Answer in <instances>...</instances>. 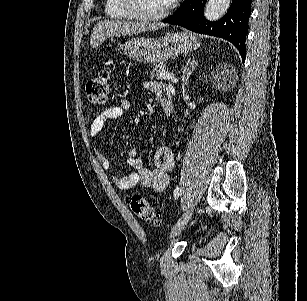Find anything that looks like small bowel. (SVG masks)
Instances as JSON below:
<instances>
[{
    "instance_id": "c3829d8e",
    "label": "small bowel",
    "mask_w": 307,
    "mask_h": 301,
    "mask_svg": "<svg viewBox=\"0 0 307 301\" xmlns=\"http://www.w3.org/2000/svg\"><path fill=\"white\" fill-rule=\"evenodd\" d=\"M148 88L157 96L161 95L168 88L159 83H149ZM129 109L127 101L122 100L101 113H99L91 123L90 138L97 142L105 125L115 119L122 117ZM96 156L103 168L108 169L110 162L101 149L96 150ZM156 168L148 169L144 166L138 151L133 149L127 156V165L131 172L126 175H114L113 182L120 190H128L140 184L152 188L156 192H163L169 184L168 172L174 166V154L168 147H161L156 152Z\"/></svg>"
}]
</instances>
